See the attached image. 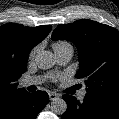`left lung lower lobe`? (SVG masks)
<instances>
[{
    "label": "left lung lower lobe",
    "instance_id": "0a47b994",
    "mask_svg": "<svg viewBox=\"0 0 119 119\" xmlns=\"http://www.w3.org/2000/svg\"><path fill=\"white\" fill-rule=\"evenodd\" d=\"M67 110L61 119H119V100L86 94L79 102L71 95H64Z\"/></svg>",
    "mask_w": 119,
    "mask_h": 119
}]
</instances>
